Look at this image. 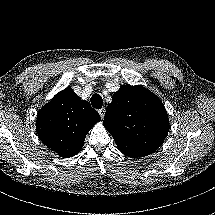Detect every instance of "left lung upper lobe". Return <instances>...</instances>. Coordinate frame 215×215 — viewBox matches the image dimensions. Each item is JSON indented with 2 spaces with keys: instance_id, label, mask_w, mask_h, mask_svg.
Returning <instances> with one entry per match:
<instances>
[{
  "instance_id": "5c2ea615",
  "label": "left lung upper lobe",
  "mask_w": 215,
  "mask_h": 215,
  "mask_svg": "<svg viewBox=\"0 0 215 215\" xmlns=\"http://www.w3.org/2000/svg\"><path fill=\"white\" fill-rule=\"evenodd\" d=\"M103 124L118 149L132 158L155 152L169 130V120L162 102L141 85L121 86L113 94Z\"/></svg>"
}]
</instances>
